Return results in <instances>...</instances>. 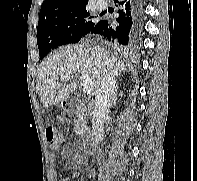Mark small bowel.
I'll return each mask as SVG.
<instances>
[{"label": "small bowel", "mask_w": 197, "mask_h": 181, "mask_svg": "<svg viewBox=\"0 0 197 181\" xmlns=\"http://www.w3.org/2000/svg\"><path fill=\"white\" fill-rule=\"evenodd\" d=\"M71 155H72L71 149L65 148V149L62 150V156H63V158L68 159V158H70ZM55 160H56L55 155H54V154L51 155V162H52V163H55ZM81 162H82L81 157L76 156V157L73 158V165H74V166L80 165Z\"/></svg>", "instance_id": "c3829d8e"}]
</instances>
